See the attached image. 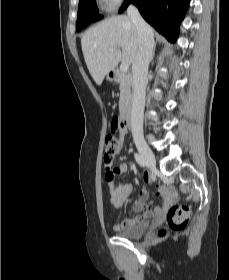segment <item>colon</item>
Wrapping results in <instances>:
<instances>
[{"label":"colon","instance_id":"1","mask_svg":"<svg viewBox=\"0 0 229 280\" xmlns=\"http://www.w3.org/2000/svg\"><path fill=\"white\" fill-rule=\"evenodd\" d=\"M118 125L117 120H113L111 127L114 129ZM121 143L114 133H109L105 140L104 149V163L107 166L105 173V179L107 182H113L114 173L109 169L114 157L121 150ZM189 218V210L185 206H172L169 208L167 213V225L172 230H179L187 226ZM165 235L164 230L158 232V236L162 237Z\"/></svg>","mask_w":229,"mask_h":280}]
</instances>
